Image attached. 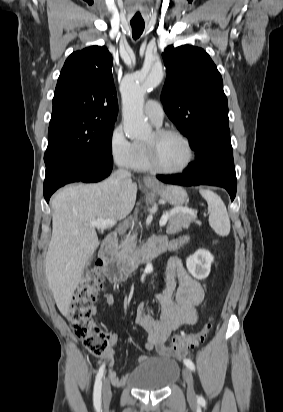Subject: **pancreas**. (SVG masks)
Here are the masks:
<instances>
[{"label":"pancreas","instance_id":"cf45deb5","mask_svg":"<svg viewBox=\"0 0 283 412\" xmlns=\"http://www.w3.org/2000/svg\"><path fill=\"white\" fill-rule=\"evenodd\" d=\"M194 215L184 212H178L169 217V224L167 226V233L168 234H176L179 233L182 228L187 229L192 222L196 221V213L197 211H193ZM137 244V234H128L121 241L120 245L117 247V257L123 263L130 260L133 252L136 249Z\"/></svg>","mask_w":283,"mask_h":412}]
</instances>
